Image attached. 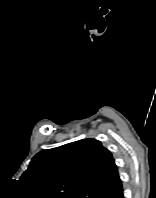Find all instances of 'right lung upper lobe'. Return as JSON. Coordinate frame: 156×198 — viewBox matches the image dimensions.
<instances>
[{
    "mask_svg": "<svg viewBox=\"0 0 156 198\" xmlns=\"http://www.w3.org/2000/svg\"><path fill=\"white\" fill-rule=\"evenodd\" d=\"M21 180L40 198H113L123 189L111 152L95 139L39 152Z\"/></svg>",
    "mask_w": 156,
    "mask_h": 198,
    "instance_id": "1",
    "label": "right lung upper lobe"
}]
</instances>
